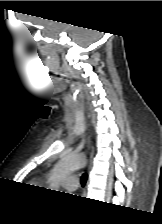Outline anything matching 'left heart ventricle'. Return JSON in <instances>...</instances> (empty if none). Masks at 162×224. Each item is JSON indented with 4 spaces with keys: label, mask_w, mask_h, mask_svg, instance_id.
<instances>
[{
    "label": "left heart ventricle",
    "mask_w": 162,
    "mask_h": 224,
    "mask_svg": "<svg viewBox=\"0 0 162 224\" xmlns=\"http://www.w3.org/2000/svg\"><path fill=\"white\" fill-rule=\"evenodd\" d=\"M65 181H66V180H64L63 183H62V187H64Z\"/></svg>",
    "instance_id": "1"
}]
</instances>
